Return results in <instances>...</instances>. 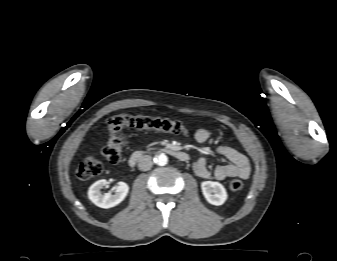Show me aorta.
<instances>
[{"mask_svg":"<svg viewBox=\"0 0 337 261\" xmlns=\"http://www.w3.org/2000/svg\"><path fill=\"white\" fill-rule=\"evenodd\" d=\"M155 162L159 166H165L168 162V158L164 153H161V154L156 156Z\"/></svg>","mask_w":337,"mask_h":261,"instance_id":"aorta-1","label":"aorta"}]
</instances>
